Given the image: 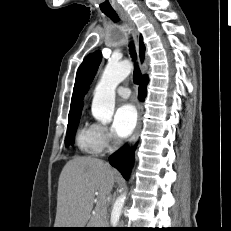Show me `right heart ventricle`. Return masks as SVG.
I'll use <instances>...</instances> for the list:
<instances>
[{
	"instance_id": "e07e8e85",
	"label": "right heart ventricle",
	"mask_w": 231,
	"mask_h": 231,
	"mask_svg": "<svg viewBox=\"0 0 231 231\" xmlns=\"http://www.w3.org/2000/svg\"><path fill=\"white\" fill-rule=\"evenodd\" d=\"M76 143L81 152L87 155L95 156L103 151L95 124L82 125L77 132Z\"/></svg>"
}]
</instances>
